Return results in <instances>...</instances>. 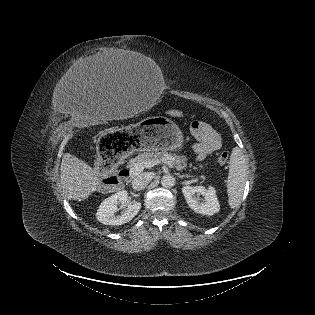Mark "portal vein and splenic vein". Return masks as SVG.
<instances>
[{"instance_id": "obj_1", "label": "portal vein and splenic vein", "mask_w": 315, "mask_h": 315, "mask_svg": "<svg viewBox=\"0 0 315 315\" xmlns=\"http://www.w3.org/2000/svg\"><path fill=\"white\" fill-rule=\"evenodd\" d=\"M161 163H164V164L168 165L170 168L174 167V165L170 161H168L166 159L152 160V161H148V162H145V163H138V164H136L134 167H132L130 169V174L132 176H137L144 170V168H152L153 166L161 164Z\"/></svg>"}]
</instances>
